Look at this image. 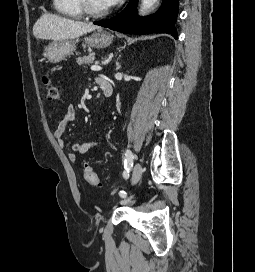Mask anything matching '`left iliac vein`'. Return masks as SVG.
Returning a JSON list of instances; mask_svg holds the SVG:
<instances>
[{
    "label": "left iliac vein",
    "instance_id": "1",
    "mask_svg": "<svg viewBox=\"0 0 255 272\" xmlns=\"http://www.w3.org/2000/svg\"><path fill=\"white\" fill-rule=\"evenodd\" d=\"M141 175H142V166L140 165V163H136L133 168L131 183L133 185L136 184L140 180Z\"/></svg>",
    "mask_w": 255,
    "mask_h": 272
}]
</instances>
